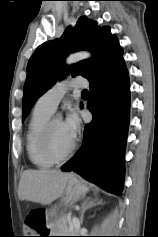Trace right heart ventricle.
<instances>
[{
  "mask_svg": "<svg viewBox=\"0 0 158 237\" xmlns=\"http://www.w3.org/2000/svg\"><path fill=\"white\" fill-rule=\"evenodd\" d=\"M52 113L35 105L26 133V151L29 160L40 169H46L53 165L40 149V135L49 121Z\"/></svg>",
  "mask_w": 158,
  "mask_h": 237,
  "instance_id": "e07e8e85",
  "label": "right heart ventricle"
}]
</instances>
